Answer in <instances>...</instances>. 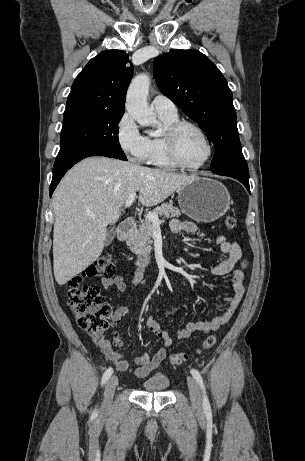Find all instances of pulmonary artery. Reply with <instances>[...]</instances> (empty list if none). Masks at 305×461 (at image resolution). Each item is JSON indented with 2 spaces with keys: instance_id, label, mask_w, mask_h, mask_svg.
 Segmentation results:
<instances>
[{
  "instance_id": "e3ab8cb5",
  "label": "pulmonary artery",
  "mask_w": 305,
  "mask_h": 461,
  "mask_svg": "<svg viewBox=\"0 0 305 461\" xmlns=\"http://www.w3.org/2000/svg\"><path fill=\"white\" fill-rule=\"evenodd\" d=\"M152 106L158 114L176 115L177 108L168 97L157 94L152 100Z\"/></svg>"
}]
</instances>
